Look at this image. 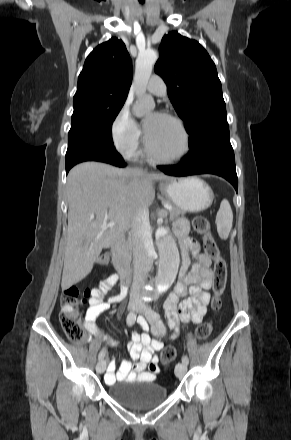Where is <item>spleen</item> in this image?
<instances>
[{
  "mask_svg": "<svg viewBox=\"0 0 291 440\" xmlns=\"http://www.w3.org/2000/svg\"><path fill=\"white\" fill-rule=\"evenodd\" d=\"M233 212L229 201L223 199L216 215L217 232L221 239L226 240L232 228Z\"/></svg>",
  "mask_w": 291,
  "mask_h": 440,
  "instance_id": "3e777b00",
  "label": "spleen"
}]
</instances>
